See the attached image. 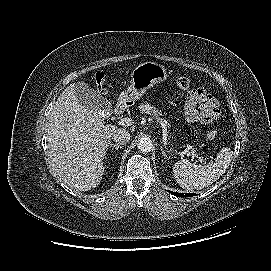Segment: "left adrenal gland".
I'll return each mask as SVG.
<instances>
[{"mask_svg": "<svg viewBox=\"0 0 271 271\" xmlns=\"http://www.w3.org/2000/svg\"><path fill=\"white\" fill-rule=\"evenodd\" d=\"M160 150L162 152V155L164 158H168V156L166 155L165 151H164V148L162 146H160Z\"/></svg>", "mask_w": 271, "mask_h": 271, "instance_id": "a2214340", "label": "left adrenal gland"}]
</instances>
